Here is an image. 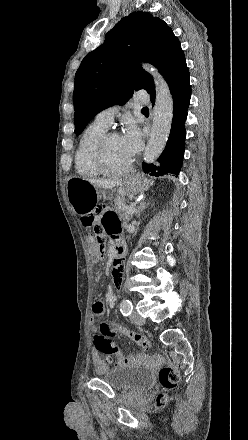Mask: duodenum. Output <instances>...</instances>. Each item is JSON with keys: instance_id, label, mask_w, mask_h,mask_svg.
I'll return each mask as SVG.
<instances>
[{"instance_id": "obj_1", "label": "duodenum", "mask_w": 248, "mask_h": 440, "mask_svg": "<svg viewBox=\"0 0 248 440\" xmlns=\"http://www.w3.org/2000/svg\"><path fill=\"white\" fill-rule=\"evenodd\" d=\"M125 254V245L123 241L117 240L115 250H114V259L116 257H123Z\"/></svg>"}]
</instances>
